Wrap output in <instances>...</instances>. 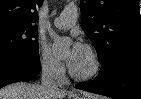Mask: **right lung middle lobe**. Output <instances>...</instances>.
<instances>
[{
    "mask_svg": "<svg viewBox=\"0 0 141 99\" xmlns=\"http://www.w3.org/2000/svg\"><path fill=\"white\" fill-rule=\"evenodd\" d=\"M37 29L33 24H0V57H38Z\"/></svg>",
    "mask_w": 141,
    "mask_h": 99,
    "instance_id": "obj_1",
    "label": "right lung middle lobe"
}]
</instances>
